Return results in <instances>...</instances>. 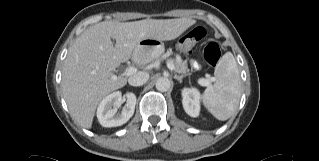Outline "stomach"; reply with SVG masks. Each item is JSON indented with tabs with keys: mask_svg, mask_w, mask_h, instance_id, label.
<instances>
[{
	"mask_svg": "<svg viewBox=\"0 0 319 161\" xmlns=\"http://www.w3.org/2000/svg\"><path fill=\"white\" fill-rule=\"evenodd\" d=\"M164 52V44L156 39L141 40L133 52V60L139 64H147L159 58Z\"/></svg>",
	"mask_w": 319,
	"mask_h": 161,
	"instance_id": "obj_1",
	"label": "stomach"
}]
</instances>
